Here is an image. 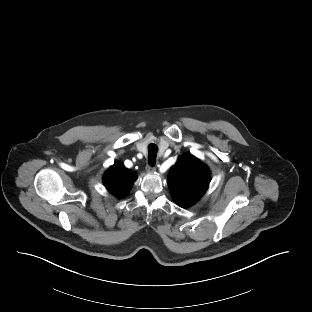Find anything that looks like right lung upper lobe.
<instances>
[{
    "label": "right lung upper lobe",
    "instance_id": "right-lung-upper-lobe-1",
    "mask_svg": "<svg viewBox=\"0 0 312 312\" xmlns=\"http://www.w3.org/2000/svg\"><path fill=\"white\" fill-rule=\"evenodd\" d=\"M136 179L137 174L135 172L117 163L107 170L103 180L109 192L118 198H122L127 195Z\"/></svg>",
    "mask_w": 312,
    "mask_h": 312
}]
</instances>
